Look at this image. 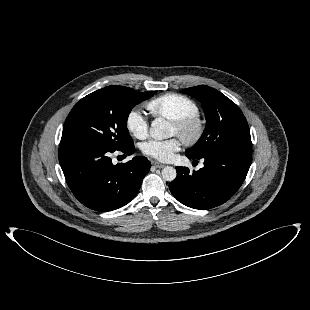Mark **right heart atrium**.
<instances>
[{"label":"right heart atrium","instance_id":"d8ad5b80","mask_svg":"<svg viewBox=\"0 0 310 310\" xmlns=\"http://www.w3.org/2000/svg\"><path fill=\"white\" fill-rule=\"evenodd\" d=\"M126 127L138 139H143L148 135V120L139 109H132L129 112L126 118Z\"/></svg>","mask_w":310,"mask_h":310}]
</instances>
